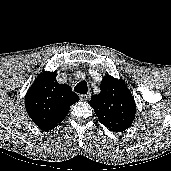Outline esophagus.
Here are the masks:
<instances>
[{
  "mask_svg": "<svg viewBox=\"0 0 171 171\" xmlns=\"http://www.w3.org/2000/svg\"><path fill=\"white\" fill-rule=\"evenodd\" d=\"M91 95L90 94H80L79 98L84 101H88L90 99Z\"/></svg>",
  "mask_w": 171,
  "mask_h": 171,
  "instance_id": "obj_1",
  "label": "esophagus"
}]
</instances>
